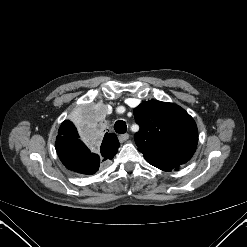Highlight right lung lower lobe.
<instances>
[{"mask_svg":"<svg viewBox=\"0 0 247 247\" xmlns=\"http://www.w3.org/2000/svg\"><path fill=\"white\" fill-rule=\"evenodd\" d=\"M55 146L62 163L75 172L94 174L103 165L101 157L92 152L78 137L58 135Z\"/></svg>","mask_w":247,"mask_h":247,"instance_id":"98d812e1","label":"right lung lower lobe"}]
</instances>
